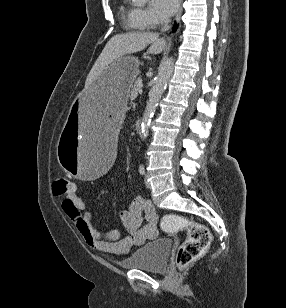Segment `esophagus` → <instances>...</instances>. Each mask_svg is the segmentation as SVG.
<instances>
[{"instance_id":"esophagus-1","label":"esophagus","mask_w":286,"mask_h":308,"mask_svg":"<svg viewBox=\"0 0 286 308\" xmlns=\"http://www.w3.org/2000/svg\"><path fill=\"white\" fill-rule=\"evenodd\" d=\"M180 15H181V9H180V11H179V13H178V15H177V18H179Z\"/></svg>"}]
</instances>
